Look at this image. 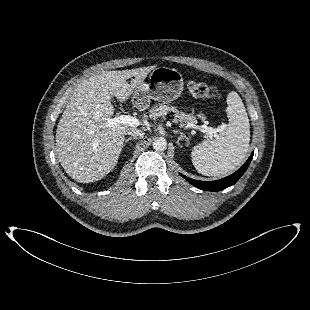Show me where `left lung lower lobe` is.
<instances>
[{
	"label": "left lung lower lobe",
	"mask_w": 310,
	"mask_h": 310,
	"mask_svg": "<svg viewBox=\"0 0 310 310\" xmlns=\"http://www.w3.org/2000/svg\"><path fill=\"white\" fill-rule=\"evenodd\" d=\"M253 157V153L251 154V156L249 157V159L246 161V163L235 173H233L232 175L220 179V180H216V181H198V180H194L191 179L189 177H186L182 174H180L184 179H186L188 182H190L192 185H194L195 187L201 189V190H207V191H220L223 190L233 184H235L240 177L244 174V172L246 171V169L248 168L251 160Z\"/></svg>",
	"instance_id": "left-lung-lower-lobe-1"
}]
</instances>
